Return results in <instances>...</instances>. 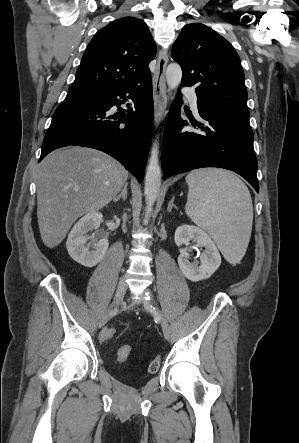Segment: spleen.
<instances>
[{
    "label": "spleen",
    "instance_id": "spleen-1",
    "mask_svg": "<svg viewBox=\"0 0 299 443\" xmlns=\"http://www.w3.org/2000/svg\"><path fill=\"white\" fill-rule=\"evenodd\" d=\"M186 182V214L209 233L229 263H238L248 246L253 222L248 188L233 173L222 169L193 171Z\"/></svg>",
    "mask_w": 299,
    "mask_h": 443
}]
</instances>
